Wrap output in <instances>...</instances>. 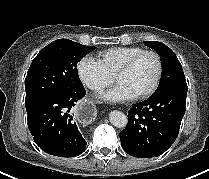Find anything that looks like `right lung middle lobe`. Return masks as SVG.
<instances>
[{"mask_svg":"<svg viewBox=\"0 0 209 179\" xmlns=\"http://www.w3.org/2000/svg\"><path fill=\"white\" fill-rule=\"evenodd\" d=\"M94 49L68 39L44 47L32 61L25 79L27 112L53 95L83 89L77 64Z\"/></svg>","mask_w":209,"mask_h":179,"instance_id":"obj_1","label":"right lung middle lobe"}]
</instances>
